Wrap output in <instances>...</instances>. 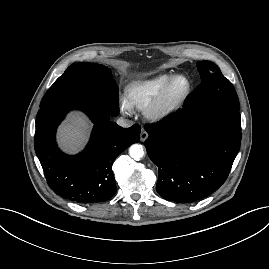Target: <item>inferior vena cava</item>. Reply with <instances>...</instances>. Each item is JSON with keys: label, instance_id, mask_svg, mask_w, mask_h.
Wrapping results in <instances>:
<instances>
[{"label": "inferior vena cava", "instance_id": "inferior-vena-cava-1", "mask_svg": "<svg viewBox=\"0 0 269 269\" xmlns=\"http://www.w3.org/2000/svg\"><path fill=\"white\" fill-rule=\"evenodd\" d=\"M117 124L121 127L127 128L132 126L133 122L131 120L124 119L121 117L117 120Z\"/></svg>", "mask_w": 269, "mask_h": 269}]
</instances>
